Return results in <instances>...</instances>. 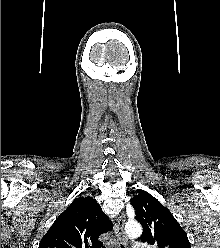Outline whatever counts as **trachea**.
Wrapping results in <instances>:
<instances>
[{
    "label": "trachea",
    "mask_w": 220,
    "mask_h": 248,
    "mask_svg": "<svg viewBox=\"0 0 220 248\" xmlns=\"http://www.w3.org/2000/svg\"><path fill=\"white\" fill-rule=\"evenodd\" d=\"M105 248V247H104ZM121 248H124L123 245H121Z\"/></svg>",
    "instance_id": "obj_1"
}]
</instances>
